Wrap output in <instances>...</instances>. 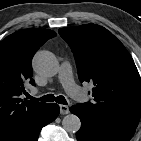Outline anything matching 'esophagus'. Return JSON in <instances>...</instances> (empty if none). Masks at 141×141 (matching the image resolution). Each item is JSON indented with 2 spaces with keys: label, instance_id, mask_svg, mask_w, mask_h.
Returning <instances> with one entry per match:
<instances>
[{
  "label": "esophagus",
  "instance_id": "34e87169",
  "mask_svg": "<svg viewBox=\"0 0 141 141\" xmlns=\"http://www.w3.org/2000/svg\"><path fill=\"white\" fill-rule=\"evenodd\" d=\"M69 112V107L67 105H60V114L65 115Z\"/></svg>",
  "mask_w": 141,
  "mask_h": 141
}]
</instances>
